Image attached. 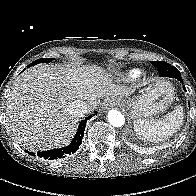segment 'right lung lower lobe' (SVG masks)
<instances>
[{"instance_id": "98d812e1", "label": "right lung lower lobe", "mask_w": 196, "mask_h": 196, "mask_svg": "<svg viewBox=\"0 0 196 196\" xmlns=\"http://www.w3.org/2000/svg\"><path fill=\"white\" fill-rule=\"evenodd\" d=\"M91 118H92V115L86 117L84 120L80 122L77 133L74 139L72 140V142L68 146L60 148V149H53V150L38 152L37 155L45 159H58V158H63L68 154L75 153L77 149L79 148L80 144L82 143V138L84 135L86 122L87 120ZM26 152L32 156H36L35 153L33 152H28V151Z\"/></svg>"}]
</instances>
